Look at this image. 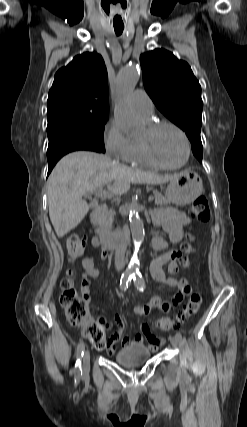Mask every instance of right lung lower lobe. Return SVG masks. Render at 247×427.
<instances>
[{
  "label": "right lung lower lobe",
  "instance_id": "98d812e1",
  "mask_svg": "<svg viewBox=\"0 0 247 427\" xmlns=\"http://www.w3.org/2000/svg\"><path fill=\"white\" fill-rule=\"evenodd\" d=\"M77 150H89L95 152H102L96 146L73 137L59 136L49 139V145L47 150L48 160V175L52 171L57 161L65 154L77 151Z\"/></svg>",
  "mask_w": 247,
  "mask_h": 427
}]
</instances>
